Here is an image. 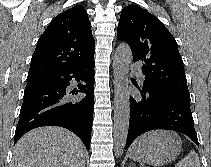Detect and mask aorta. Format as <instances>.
Returning <instances> with one entry per match:
<instances>
[{"label": "aorta", "instance_id": "aorta-1", "mask_svg": "<svg viewBox=\"0 0 211 167\" xmlns=\"http://www.w3.org/2000/svg\"><path fill=\"white\" fill-rule=\"evenodd\" d=\"M132 52L127 44H120L113 58L115 79L114 95V150L116 155L123 153L126 145L130 118V101L128 91L129 67Z\"/></svg>", "mask_w": 211, "mask_h": 167}]
</instances>
